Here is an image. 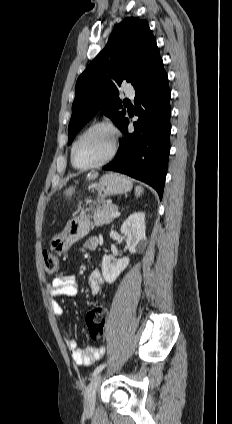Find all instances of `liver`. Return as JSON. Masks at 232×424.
I'll use <instances>...</instances> for the list:
<instances>
[{"label": "liver", "mask_w": 232, "mask_h": 424, "mask_svg": "<svg viewBox=\"0 0 232 424\" xmlns=\"http://www.w3.org/2000/svg\"><path fill=\"white\" fill-rule=\"evenodd\" d=\"M97 177H98V172H92L87 175L88 180H93V179H96Z\"/></svg>", "instance_id": "obj_1"}]
</instances>
